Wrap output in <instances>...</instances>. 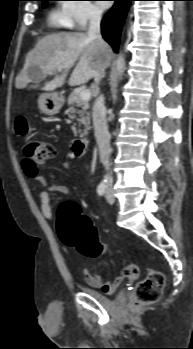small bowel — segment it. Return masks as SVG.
<instances>
[{
	"mask_svg": "<svg viewBox=\"0 0 193 349\" xmlns=\"http://www.w3.org/2000/svg\"><path fill=\"white\" fill-rule=\"evenodd\" d=\"M63 166L67 169H70L72 166V163L70 161H65L63 163ZM23 169L25 171V174L28 177L34 179L38 184H40L41 186L47 185L45 176L39 172V167L36 168L31 163L26 162L24 160ZM53 190L63 195H68L69 193L68 188L62 185L53 186ZM39 200H40V208L43 216L46 219H52L53 211H52L51 196L49 191L42 190L39 193ZM83 275L85 280L90 286L95 288H101L107 293H112L120 285L123 279L137 278L138 268L134 265L127 266L119 276H117L116 278L110 281H105L100 275L93 273L89 270H84Z\"/></svg>",
	"mask_w": 193,
	"mask_h": 349,
	"instance_id": "obj_1",
	"label": "small bowel"
}]
</instances>
